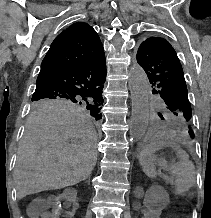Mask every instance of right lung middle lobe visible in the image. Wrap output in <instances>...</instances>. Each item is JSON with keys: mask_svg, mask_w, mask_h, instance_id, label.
Returning <instances> with one entry per match:
<instances>
[{"mask_svg": "<svg viewBox=\"0 0 211 218\" xmlns=\"http://www.w3.org/2000/svg\"><path fill=\"white\" fill-rule=\"evenodd\" d=\"M103 98H63V97H44V98H32V106L34 109H45L55 107H68V106H81L87 109L91 116L95 119H101L100 113L101 106L103 104Z\"/></svg>", "mask_w": 211, "mask_h": 218, "instance_id": "1", "label": "right lung middle lobe"}]
</instances>
